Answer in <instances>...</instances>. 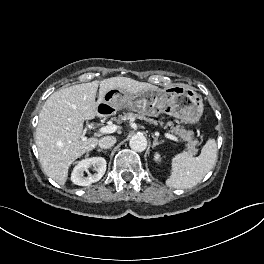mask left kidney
Here are the masks:
<instances>
[{
    "label": "left kidney",
    "instance_id": "left-kidney-1",
    "mask_svg": "<svg viewBox=\"0 0 264 264\" xmlns=\"http://www.w3.org/2000/svg\"><path fill=\"white\" fill-rule=\"evenodd\" d=\"M154 159H155V161L160 162L161 161V155L159 153H156L154 155Z\"/></svg>",
    "mask_w": 264,
    "mask_h": 264
}]
</instances>
